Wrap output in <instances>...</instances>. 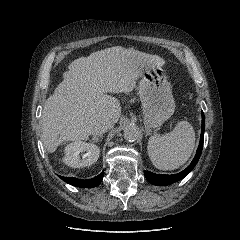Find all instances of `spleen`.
<instances>
[{
  "mask_svg": "<svg viewBox=\"0 0 240 240\" xmlns=\"http://www.w3.org/2000/svg\"><path fill=\"white\" fill-rule=\"evenodd\" d=\"M194 146L195 132L192 125L181 121L165 135H152L148 140L147 150L156 168L174 170L186 163Z\"/></svg>",
  "mask_w": 240,
  "mask_h": 240,
  "instance_id": "1",
  "label": "spleen"
}]
</instances>
